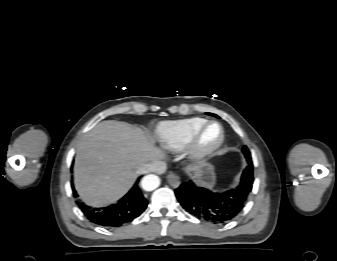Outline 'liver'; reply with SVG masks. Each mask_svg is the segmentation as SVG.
<instances>
[{
	"label": "liver",
	"instance_id": "liver-1",
	"mask_svg": "<svg viewBox=\"0 0 337 261\" xmlns=\"http://www.w3.org/2000/svg\"><path fill=\"white\" fill-rule=\"evenodd\" d=\"M162 158V151L141 129L103 121L78 143L75 188L88 205L113 203L131 188L142 166Z\"/></svg>",
	"mask_w": 337,
	"mask_h": 261
}]
</instances>
